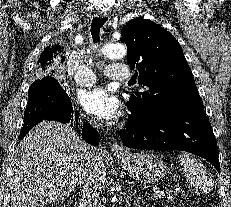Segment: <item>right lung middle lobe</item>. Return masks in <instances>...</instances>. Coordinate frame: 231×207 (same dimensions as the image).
Masks as SVG:
<instances>
[{
    "label": "right lung middle lobe",
    "mask_w": 231,
    "mask_h": 207,
    "mask_svg": "<svg viewBox=\"0 0 231 207\" xmlns=\"http://www.w3.org/2000/svg\"><path fill=\"white\" fill-rule=\"evenodd\" d=\"M39 82H40V81L37 80V81H35L33 84H36V83H39ZM28 95H29V98H31V97L33 96L32 87H30L29 92H28Z\"/></svg>",
    "instance_id": "right-lung-middle-lobe-1"
}]
</instances>
